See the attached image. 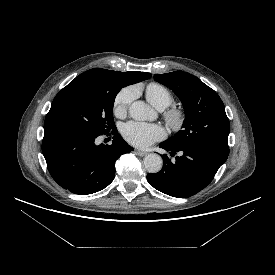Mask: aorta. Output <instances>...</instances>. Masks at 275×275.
Returning <instances> with one entry per match:
<instances>
[{
  "label": "aorta",
  "instance_id": "aorta-1",
  "mask_svg": "<svg viewBox=\"0 0 275 275\" xmlns=\"http://www.w3.org/2000/svg\"><path fill=\"white\" fill-rule=\"evenodd\" d=\"M129 114L134 120L144 121L152 118L155 112L144 101H135L129 107ZM143 163L149 173H157L162 169L163 160L160 155L151 153L145 156Z\"/></svg>",
  "mask_w": 275,
  "mask_h": 275
}]
</instances>
